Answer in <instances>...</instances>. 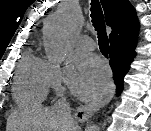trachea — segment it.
Instances as JSON below:
<instances>
[{
    "instance_id": "trachea-1",
    "label": "trachea",
    "mask_w": 151,
    "mask_h": 131,
    "mask_svg": "<svg viewBox=\"0 0 151 131\" xmlns=\"http://www.w3.org/2000/svg\"><path fill=\"white\" fill-rule=\"evenodd\" d=\"M91 18L93 26L98 34V42L99 48L101 53L107 57L108 56V47H109V40L106 33V26L104 22L103 12L98 0H92L91 2Z\"/></svg>"
}]
</instances>
